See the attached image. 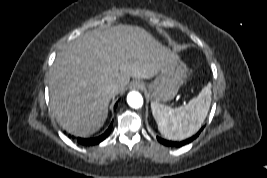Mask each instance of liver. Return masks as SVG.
Wrapping results in <instances>:
<instances>
[{
  "label": "liver",
  "mask_w": 267,
  "mask_h": 178,
  "mask_svg": "<svg viewBox=\"0 0 267 178\" xmlns=\"http://www.w3.org/2000/svg\"><path fill=\"white\" fill-rule=\"evenodd\" d=\"M175 56L145 29L117 25L81 34L57 53L49 73L50 107L68 133L88 137L108 116L114 84L118 93L130 78L150 79Z\"/></svg>",
  "instance_id": "6515ba94"
}]
</instances>
